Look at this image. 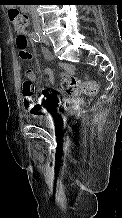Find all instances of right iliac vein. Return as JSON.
I'll list each match as a JSON object with an SVG mask.
<instances>
[{
	"mask_svg": "<svg viewBox=\"0 0 122 218\" xmlns=\"http://www.w3.org/2000/svg\"><path fill=\"white\" fill-rule=\"evenodd\" d=\"M41 39L45 44L50 45V42L46 37H42Z\"/></svg>",
	"mask_w": 122,
	"mask_h": 218,
	"instance_id": "right-iliac-vein-1",
	"label": "right iliac vein"
}]
</instances>
